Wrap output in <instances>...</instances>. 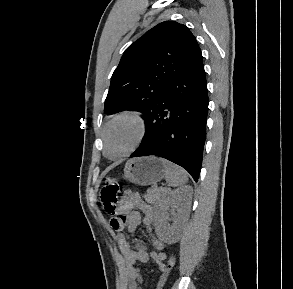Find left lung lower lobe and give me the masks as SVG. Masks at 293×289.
Here are the masks:
<instances>
[{
    "label": "left lung lower lobe",
    "instance_id": "1",
    "mask_svg": "<svg viewBox=\"0 0 293 289\" xmlns=\"http://www.w3.org/2000/svg\"><path fill=\"white\" fill-rule=\"evenodd\" d=\"M207 82L202 55L143 116L146 132L131 157L155 155L185 168L197 182L206 138Z\"/></svg>",
    "mask_w": 293,
    "mask_h": 289
}]
</instances>
